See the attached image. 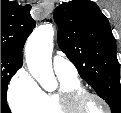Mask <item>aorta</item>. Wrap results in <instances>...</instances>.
I'll return each instance as SVG.
<instances>
[{
    "label": "aorta",
    "mask_w": 121,
    "mask_h": 113,
    "mask_svg": "<svg viewBox=\"0 0 121 113\" xmlns=\"http://www.w3.org/2000/svg\"><path fill=\"white\" fill-rule=\"evenodd\" d=\"M54 29L51 24L37 27L29 36L26 44V62L31 75L40 85L52 90L56 79L52 69Z\"/></svg>",
    "instance_id": "obj_1"
}]
</instances>
